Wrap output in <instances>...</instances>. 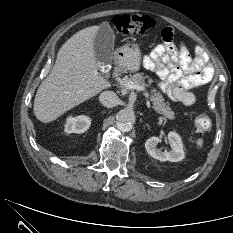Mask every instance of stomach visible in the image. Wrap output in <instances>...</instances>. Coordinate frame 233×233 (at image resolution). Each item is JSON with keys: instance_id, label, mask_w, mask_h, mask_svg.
<instances>
[{"instance_id": "1", "label": "stomach", "mask_w": 233, "mask_h": 233, "mask_svg": "<svg viewBox=\"0 0 233 233\" xmlns=\"http://www.w3.org/2000/svg\"><path fill=\"white\" fill-rule=\"evenodd\" d=\"M118 63L129 71H137L140 68L141 52L138 44L127 43L117 53Z\"/></svg>"}]
</instances>
